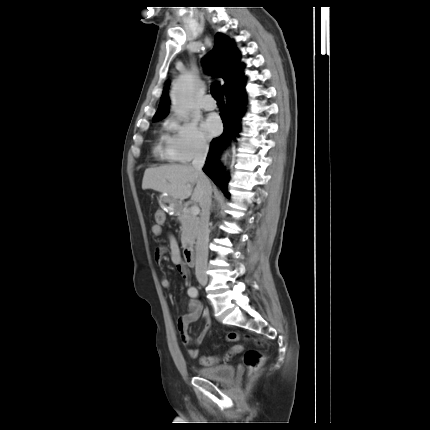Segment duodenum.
<instances>
[{"instance_id": "410a0bca", "label": "duodenum", "mask_w": 430, "mask_h": 430, "mask_svg": "<svg viewBox=\"0 0 430 430\" xmlns=\"http://www.w3.org/2000/svg\"><path fill=\"white\" fill-rule=\"evenodd\" d=\"M183 257L187 266L193 267L195 265V250L192 245L185 247L183 251Z\"/></svg>"}]
</instances>
